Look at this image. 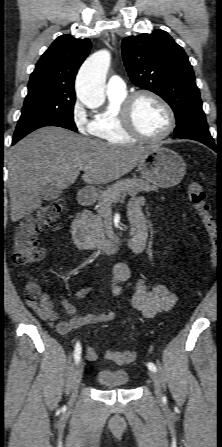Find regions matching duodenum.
<instances>
[{
  "instance_id": "duodenum-1",
  "label": "duodenum",
  "mask_w": 222,
  "mask_h": 447,
  "mask_svg": "<svg viewBox=\"0 0 222 447\" xmlns=\"http://www.w3.org/2000/svg\"><path fill=\"white\" fill-rule=\"evenodd\" d=\"M78 202L82 207H89L93 203V196L87 190H80ZM71 231L74 242L81 249L99 250L108 255L116 254L122 245V234L117 233L112 239L96 241L89 234L86 227L85 216L82 212H77L71 223ZM135 232L133 233V235ZM133 251H140V247L135 243L130 244Z\"/></svg>"
}]
</instances>
